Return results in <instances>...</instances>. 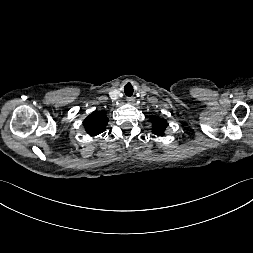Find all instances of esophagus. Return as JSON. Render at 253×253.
I'll return each mask as SVG.
<instances>
[{
  "mask_svg": "<svg viewBox=\"0 0 253 253\" xmlns=\"http://www.w3.org/2000/svg\"><path fill=\"white\" fill-rule=\"evenodd\" d=\"M126 101H127L129 104H132V103L135 101V98H134V97H127Z\"/></svg>",
  "mask_w": 253,
  "mask_h": 253,
  "instance_id": "esophagus-1",
  "label": "esophagus"
}]
</instances>
